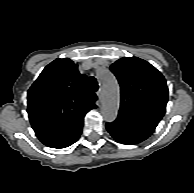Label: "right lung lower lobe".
<instances>
[{
	"mask_svg": "<svg viewBox=\"0 0 194 193\" xmlns=\"http://www.w3.org/2000/svg\"><path fill=\"white\" fill-rule=\"evenodd\" d=\"M83 120L56 134L39 138L40 141L51 148H65L78 140L82 132Z\"/></svg>",
	"mask_w": 194,
	"mask_h": 193,
	"instance_id": "1",
	"label": "right lung lower lobe"
}]
</instances>
